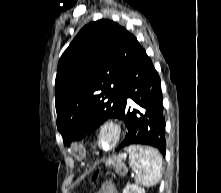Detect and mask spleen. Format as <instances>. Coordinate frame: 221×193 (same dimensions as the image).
<instances>
[{
	"label": "spleen",
	"instance_id": "1",
	"mask_svg": "<svg viewBox=\"0 0 221 193\" xmlns=\"http://www.w3.org/2000/svg\"><path fill=\"white\" fill-rule=\"evenodd\" d=\"M130 165L136 173L135 181L144 186L156 185L162 177V157L150 146H129Z\"/></svg>",
	"mask_w": 221,
	"mask_h": 193
}]
</instances>
